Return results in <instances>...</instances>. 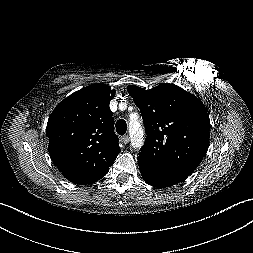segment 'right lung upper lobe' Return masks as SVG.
Returning <instances> with one entry per match:
<instances>
[{
    "instance_id": "right-lung-upper-lobe-1",
    "label": "right lung upper lobe",
    "mask_w": 253,
    "mask_h": 253,
    "mask_svg": "<svg viewBox=\"0 0 253 253\" xmlns=\"http://www.w3.org/2000/svg\"><path fill=\"white\" fill-rule=\"evenodd\" d=\"M114 95L107 85H89L60 102L48 119L51 159L73 183L97 182L120 152L109 108Z\"/></svg>"
}]
</instances>
